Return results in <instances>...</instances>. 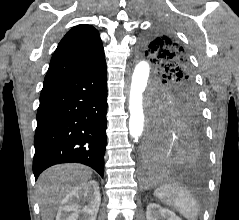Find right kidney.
I'll list each match as a JSON object with an SVG mask.
<instances>
[{
  "label": "right kidney",
  "mask_w": 239,
  "mask_h": 220,
  "mask_svg": "<svg viewBox=\"0 0 239 220\" xmlns=\"http://www.w3.org/2000/svg\"><path fill=\"white\" fill-rule=\"evenodd\" d=\"M82 199L87 201L84 207L79 204ZM100 202L98 183L94 180L81 183L64 197L56 220H96Z\"/></svg>",
  "instance_id": "right-kidney-1"
}]
</instances>
